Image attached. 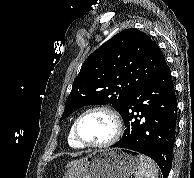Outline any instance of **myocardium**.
I'll return each instance as SVG.
<instances>
[{
    "instance_id": "f54148a6",
    "label": "myocardium",
    "mask_w": 194,
    "mask_h": 178,
    "mask_svg": "<svg viewBox=\"0 0 194 178\" xmlns=\"http://www.w3.org/2000/svg\"><path fill=\"white\" fill-rule=\"evenodd\" d=\"M91 112L106 113L113 121V124H114L113 134L105 142H102V143H89V142L84 141L79 135L78 126H79V123H80L81 119L85 115H87ZM122 129H123V125H122L121 118H120L119 114L114 109H112L109 106H105V105H96V106H92V107L87 108L86 110H84L82 113H80L78 115V117L75 119V121L73 123L72 133H73L74 139L83 147H87V148H106V147H109V146L115 144L119 140V138L122 134Z\"/></svg>"
}]
</instances>
